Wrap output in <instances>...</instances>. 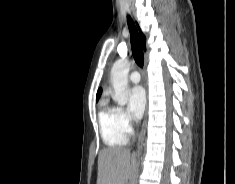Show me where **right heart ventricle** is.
<instances>
[{"mask_svg": "<svg viewBox=\"0 0 235 184\" xmlns=\"http://www.w3.org/2000/svg\"><path fill=\"white\" fill-rule=\"evenodd\" d=\"M97 119L101 138L107 146L101 153L100 158L101 160H108L127 145L128 135L119 124L116 108L101 105L98 110Z\"/></svg>", "mask_w": 235, "mask_h": 184, "instance_id": "1", "label": "right heart ventricle"}]
</instances>
